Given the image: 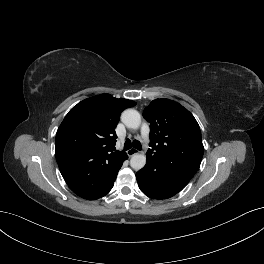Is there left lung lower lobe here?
<instances>
[{
  "mask_svg": "<svg viewBox=\"0 0 264 264\" xmlns=\"http://www.w3.org/2000/svg\"><path fill=\"white\" fill-rule=\"evenodd\" d=\"M140 190L153 199H166L181 191L191 180L181 172L163 171L155 160L147 159L143 169L136 173Z\"/></svg>",
  "mask_w": 264,
  "mask_h": 264,
  "instance_id": "1",
  "label": "left lung lower lobe"
}]
</instances>
